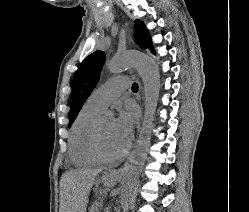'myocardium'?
<instances>
[{"instance_id":"myocardium-1","label":"myocardium","mask_w":249,"mask_h":212,"mask_svg":"<svg viewBox=\"0 0 249 212\" xmlns=\"http://www.w3.org/2000/svg\"><path fill=\"white\" fill-rule=\"evenodd\" d=\"M103 118H98L92 129H91V133H90V148L92 151V154L94 155V157L101 163H114L116 161H119L120 159H122L124 157V152H121L120 154L117 155H107L103 152V150L101 149L100 146V142H99V131H100V125H101V121Z\"/></svg>"}]
</instances>
